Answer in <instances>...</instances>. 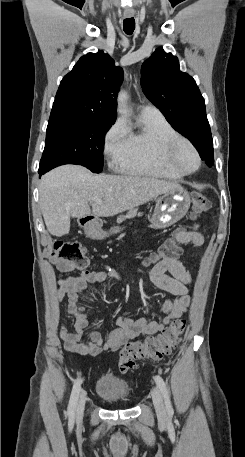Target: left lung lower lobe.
I'll return each mask as SVG.
<instances>
[{
	"instance_id": "0a47b994",
	"label": "left lung lower lobe",
	"mask_w": 245,
	"mask_h": 457,
	"mask_svg": "<svg viewBox=\"0 0 245 457\" xmlns=\"http://www.w3.org/2000/svg\"><path fill=\"white\" fill-rule=\"evenodd\" d=\"M196 149L198 150L202 160H205L209 167L214 165L212 137L202 140V142L196 146Z\"/></svg>"
}]
</instances>
